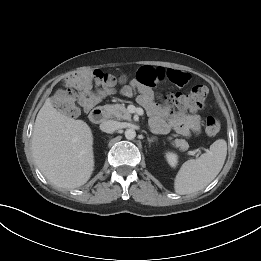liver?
<instances>
[{"mask_svg": "<svg viewBox=\"0 0 261 261\" xmlns=\"http://www.w3.org/2000/svg\"><path fill=\"white\" fill-rule=\"evenodd\" d=\"M31 144L37 167L55 186L73 189L90 179L94 170L92 131L83 120L60 113L50 98L37 114Z\"/></svg>", "mask_w": 261, "mask_h": 261, "instance_id": "obj_1", "label": "liver"}]
</instances>
